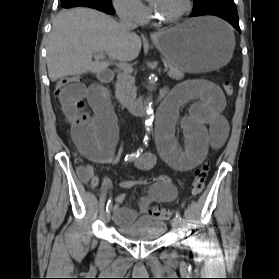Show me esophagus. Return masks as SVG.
<instances>
[{"label":"esophagus","instance_id":"34e87169","mask_svg":"<svg viewBox=\"0 0 279 279\" xmlns=\"http://www.w3.org/2000/svg\"><path fill=\"white\" fill-rule=\"evenodd\" d=\"M155 36H157V33H156V32H154V33L151 34V37H155Z\"/></svg>","mask_w":279,"mask_h":279}]
</instances>
